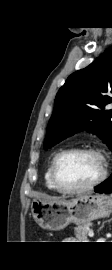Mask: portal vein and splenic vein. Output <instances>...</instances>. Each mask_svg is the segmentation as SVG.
<instances>
[{"instance_id": "1", "label": "portal vein and splenic vein", "mask_w": 112, "mask_h": 270, "mask_svg": "<svg viewBox=\"0 0 112 270\" xmlns=\"http://www.w3.org/2000/svg\"><path fill=\"white\" fill-rule=\"evenodd\" d=\"M89 237H93L94 236V232L92 230L89 231L88 233Z\"/></svg>"}]
</instances>
